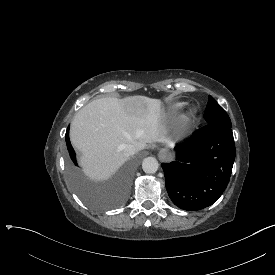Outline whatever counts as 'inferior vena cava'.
<instances>
[{
	"label": "inferior vena cava",
	"mask_w": 275,
	"mask_h": 275,
	"mask_svg": "<svg viewBox=\"0 0 275 275\" xmlns=\"http://www.w3.org/2000/svg\"><path fill=\"white\" fill-rule=\"evenodd\" d=\"M123 152L127 157L133 156L138 153V151L133 145H125Z\"/></svg>",
	"instance_id": "inferior-vena-cava-1"
}]
</instances>
